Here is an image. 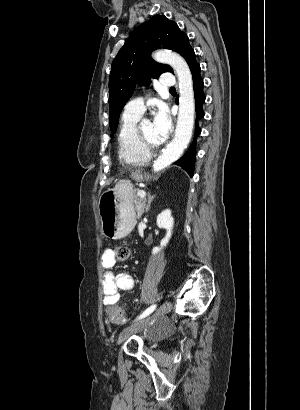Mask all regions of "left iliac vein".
Returning <instances> with one entry per match:
<instances>
[{"label":"left iliac vein","instance_id":"obj_1","mask_svg":"<svg viewBox=\"0 0 300 410\" xmlns=\"http://www.w3.org/2000/svg\"><path fill=\"white\" fill-rule=\"evenodd\" d=\"M172 309V303L166 302L161 305L153 314L147 316L144 319L130 325L129 327L125 328L119 335L117 344H121L127 338H129L132 334L138 332L141 328L147 325L149 322L160 318L161 316L167 314Z\"/></svg>","mask_w":300,"mask_h":410}]
</instances>
